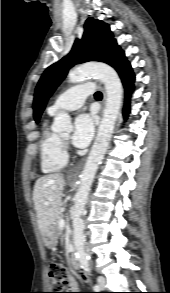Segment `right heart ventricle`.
<instances>
[{"label": "right heart ventricle", "instance_id": "e07e8e85", "mask_svg": "<svg viewBox=\"0 0 170 293\" xmlns=\"http://www.w3.org/2000/svg\"><path fill=\"white\" fill-rule=\"evenodd\" d=\"M67 161L68 157L62 148L59 136L51 130L49 121L45 120L39 142V164L42 172L59 171L65 167Z\"/></svg>", "mask_w": 170, "mask_h": 293}]
</instances>
